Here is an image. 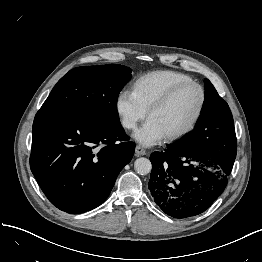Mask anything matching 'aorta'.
<instances>
[{
  "instance_id": "1",
  "label": "aorta",
  "mask_w": 262,
  "mask_h": 262,
  "mask_svg": "<svg viewBox=\"0 0 262 262\" xmlns=\"http://www.w3.org/2000/svg\"><path fill=\"white\" fill-rule=\"evenodd\" d=\"M135 171L140 175L148 174L152 169V164L149 159L141 157L136 159L134 163Z\"/></svg>"
}]
</instances>
